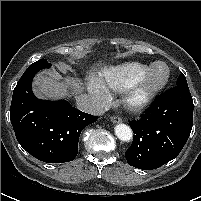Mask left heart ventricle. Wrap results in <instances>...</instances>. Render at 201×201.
I'll return each mask as SVG.
<instances>
[{"mask_svg": "<svg viewBox=\"0 0 201 201\" xmlns=\"http://www.w3.org/2000/svg\"><path fill=\"white\" fill-rule=\"evenodd\" d=\"M166 76V68L162 64L156 65L146 79V85H156L160 83Z\"/></svg>", "mask_w": 201, "mask_h": 201, "instance_id": "b2bd125f", "label": "left heart ventricle"}]
</instances>
